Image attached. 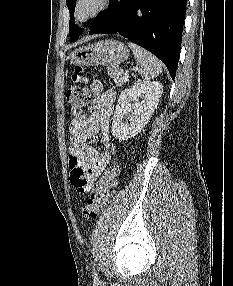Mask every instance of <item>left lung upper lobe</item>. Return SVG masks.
I'll list each match as a JSON object with an SVG mask.
<instances>
[{
    "label": "left lung upper lobe",
    "mask_w": 233,
    "mask_h": 286,
    "mask_svg": "<svg viewBox=\"0 0 233 286\" xmlns=\"http://www.w3.org/2000/svg\"><path fill=\"white\" fill-rule=\"evenodd\" d=\"M66 3L70 12L69 36L71 41L75 42L84 30L77 26L74 22V9L76 5V0H66Z\"/></svg>",
    "instance_id": "5c2ea615"
}]
</instances>
